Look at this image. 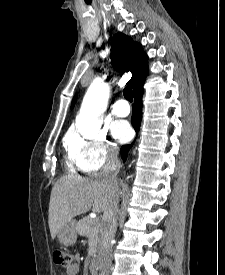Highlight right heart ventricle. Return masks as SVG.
Returning a JSON list of instances; mask_svg holds the SVG:
<instances>
[{
	"label": "right heart ventricle",
	"instance_id": "e07e8e85",
	"mask_svg": "<svg viewBox=\"0 0 225 275\" xmlns=\"http://www.w3.org/2000/svg\"><path fill=\"white\" fill-rule=\"evenodd\" d=\"M76 167H77V165H76ZM69 168H70L71 171H74V170H75L72 162L69 163ZM77 168H78V167H77ZM78 169H79V168H78Z\"/></svg>",
	"mask_w": 225,
	"mask_h": 275
}]
</instances>
